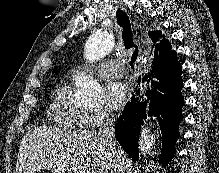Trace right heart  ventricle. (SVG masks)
<instances>
[{"mask_svg":"<svg viewBox=\"0 0 219 173\" xmlns=\"http://www.w3.org/2000/svg\"><path fill=\"white\" fill-rule=\"evenodd\" d=\"M86 113L72 101V89L68 82L59 84L47 110L49 122L60 129L78 130L86 128Z\"/></svg>","mask_w":219,"mask_h":173,"instance_id":"obj_1","label":"right heart ventricle"}]
</instances>
